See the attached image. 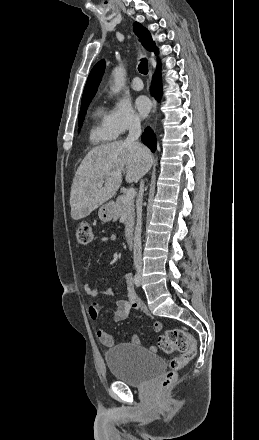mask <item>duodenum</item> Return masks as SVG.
Returning a JSON list of instances; mask_svg holds the SVG:
<instances>
[{"mask_svg": "<svg viewBox=\"0 0 259 440\" xmlns=\"http://www.w3.org/2000/svg\"><path fill=\"white\" fill-rule=\"evenodd\" d=\"M126 243H127V245L128 246H132V244H133V233H132V231H129L127 234H126Z\"/></svg>", "mask_w": 259, "mask_h": 440, "instance_id": "1", "label": "duodenum"}]
</instances>
